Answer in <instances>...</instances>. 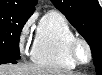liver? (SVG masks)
<instances>
[{"mask_svg":"<svg viewBox=\"0 0 102 75\" xmlns=\"http://www.w3.org/2000/svg\"><path fill=\"white\" fill-rule=\"evenodd\" d=\"M0 75H75L72 72L61 71L55 68L29 65L4 64L0 66Z\"/></svg>","mask_w":102,"mask_h":75,"instance_id":"1","label":"liver"}]
</instances>
